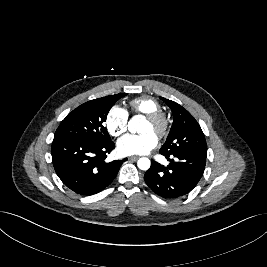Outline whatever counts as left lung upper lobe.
Segmentation results:
<instances>
[{
    "label": "left lung upper lobe",
    "mask_w": 267,
    "mask_h": 267,
    "mask_svg": "<svg viewBox=\"0 0 267 267\" xmlns=\"http://www.w3.org/2000/svg\"><path fill=\"white\" fill-rule=\"evenodd\" d=\"M160 99L173 113V124L160 153L162 155L192 154L206 158V140L198 122L178 103L163 97Z\"/></svg>",
    "instance_id": "5c2ea615"
}]
</instances>
